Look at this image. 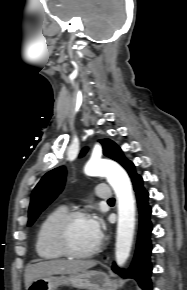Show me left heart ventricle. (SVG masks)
<instances>
[{"label":"left heart ventricle","instance_id":"left-heart-ventricle-1","mask_svg":"<svg viewBox=\"0 0 187 290\" xmlns=\"http://www.w3.org/2000/svg\"><path fill=\"white\" fill-rule=\"evenodd\" d=\"M69 239L73 248L78 251L90 250L99 241L90 225L89 217L73 221L69 230Z\"/></svg>","mask_w":187,"mask_h":290}]
</instances>
